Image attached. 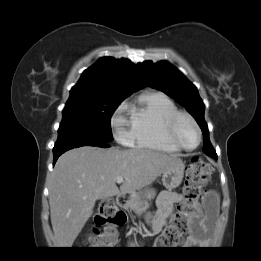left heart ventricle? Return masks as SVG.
I'll use <instances>...</instances> for the list:
<instances>
[{"mask_svg":"<svg viewBox=\"0 0 261 261\" xmlns=\"http://www.w3.org/2000/svg\"><path fill=\"white\" fill-rule=\"evenodd\" d=\"M178 137L186 147H194L198 142V134L188 120H182L178 127Z\"/></svg>","mask_w":261,"mask_h":261,"instance_id":"obj_1","label":"left heart ventricle"}]
</instances>
